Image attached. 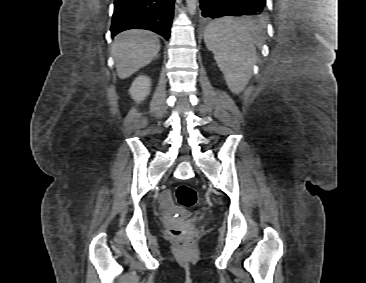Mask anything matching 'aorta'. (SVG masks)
<instances>
[{"mask_svg":"<svg viewBox=\"0 0 366 283\" xmlns=\"http://www.w3.org/2000/svg\"><path fill=\"white\" fill-rule=\"evenodd\" d=\"M188 13L192 16L196 12L197 0H186Z\"/></svg>","mask_w":366,"mask_h":283,"instance_id":"1","label":"aorta"}]
</instances>
